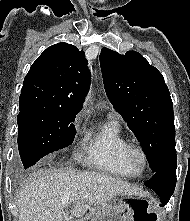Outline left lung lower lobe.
<instances>
[{"instance_id":"obj_1","label":"left lung lower lobe","mask_w":190,"mask_h":221,"mask_svg":"<svg viewBox=\"0 0 190 221\" xmlns=\"http://www.w3.org/2000/svg\"><path fill=\"white\" fill-rule=\"evenodd\" d=\"M176 154L168 158L153 173L145 185L153 189L160 197L161 206H165L172 196L176 185Z\"/></svg>"}]
</instances>
